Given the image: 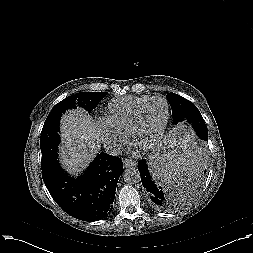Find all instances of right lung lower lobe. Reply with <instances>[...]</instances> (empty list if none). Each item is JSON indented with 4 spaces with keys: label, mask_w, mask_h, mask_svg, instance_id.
I'll return each mask as SVG.
<instances>
[{
    "label": "right lung lower lobe",
    "mask_w": 253,
    "mask_h": 253,
    "mask_svg": "<svg viewBox=\"0 0 253 253\" xmlns=\"http://www.w3.org/2000/svg\"><path fill=\"white\" fill-rule=\"evenodd\" d=\"M43 181L55 202L70 216L83 221H98L112 211L116 185L123 173L122 160L99 153L86 171L71 178L57 158L42 162Z\"/></svg>",
    "instance_id": "right-lung-lower-lobe-1"
}]
</instances>
